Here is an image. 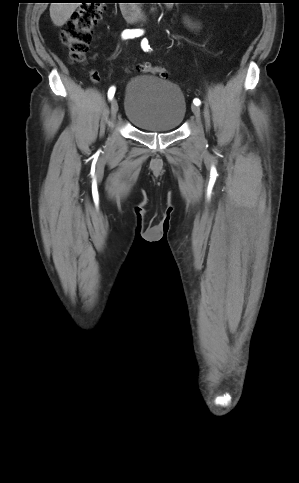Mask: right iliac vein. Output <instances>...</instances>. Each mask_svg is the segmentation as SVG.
<instances>
[{
    "label": "right iliac vein",
    "instance_id": "63e3f726",
    "mask_svg": "<svg viewBox=\"0 0 299 483\" xmlns=\"http://www.w3.org/2000/svg\"><path fill=\"white\" fill-rule=\"evenodd\" d=\"M117 112H118V102L115 98H113L111 101V115L113 118L116 117Z\"/></svg>",
    "mask_w": 299,
    "mask_h": 483
}]
</instances>
